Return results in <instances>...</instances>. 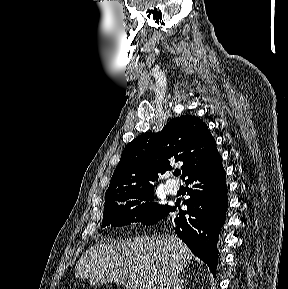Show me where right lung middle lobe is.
I'll return each instance as SVG.
<instances>
[{"label": "right lung middle lobe", "mask_w": 288, "mask_h": 289, "mask_svg": "<svg viewBox=\"0 0 288 289\" xmlns=\"http://www.w3.org/2000/svg\"><path fill=\"white\" fill-rule=\"evenodd\" d=\"M153 201V187L106 193L102 227L124 226L130 222H141L145 225L157 223L169 205H160Z\"/></svg>", "instance_id": "1"}]
</instances>
